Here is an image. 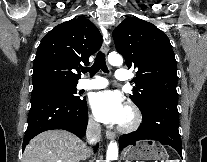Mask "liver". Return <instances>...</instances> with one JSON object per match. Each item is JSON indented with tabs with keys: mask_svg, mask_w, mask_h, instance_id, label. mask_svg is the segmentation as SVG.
Returning a JSON list of instances; mask_svg holds the SVG:
<instances>
[{
	"mask_svg": "<svg viewBox=\"0 0 207 162\" xmlns=\"http://www.w3.org/2000/svg\"><path fill=\"white\" fill-rule=\"evenodd\" d=\"M88 149L74 134L65 130H48L34 137L26 146L22 162H80Z\"/></svg>",
	"mask_w": 207,
	"mask_h": 162,
	"instance_id": "liver-1",
	"label": "liver"
}]
</instances>
